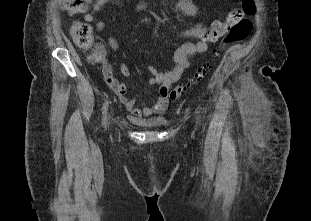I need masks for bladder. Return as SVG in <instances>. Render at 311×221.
<instances>
[{
	"mask_svg": "<svg viewBox=\"0 0 311 221\" xmlns=\"http://www.w3.org/2000/svg\"><path fill=\"white\" fill-rule=\"evenodd\" d=\"M145 125L149 127H154L157 125V123L155 121H151V122H146Z\"/></svg>",
	"mask_w": 311,
	"mask_h": 221,
	"instance_id": "1",
	"label": "bladder"
}]
</instances>
